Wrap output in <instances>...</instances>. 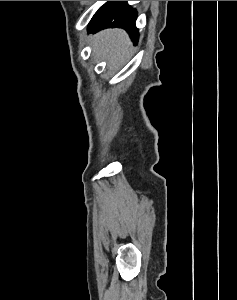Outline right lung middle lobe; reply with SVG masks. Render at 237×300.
I'll use <instances>...</instances> for the list:
<instances>
[{
  "mask_svg": "<svg viewBox=\"0 0 237 300\" xmlns=\"http://www.w3.org/2000/svg\"><path fill=\"white\" fill-rule=\"evenodd\" d=\"M117 1H108L107 3H105L97 12L96 14L93 16L91 22L89 25H91L92 23L98 21L99 19H101L106 12L116 3Z\"/></svg>",
  "mask_w": 237,
  "mask_h": 300,
  "instance_id": "obj_1",
  "label": "right lung middle lobe"
}]
</instances>
